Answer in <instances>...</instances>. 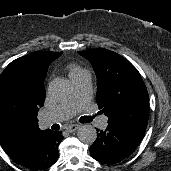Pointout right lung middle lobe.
Instances as JSON below:
<instances>
[{
    "label": "right lung middle lobe",
    "mask_w": 171,
    "mask_h": 171,
    "mask_svg": "<svg viewBox=\"0 0 171 171\" xmlns=\"http://www.w3.org/2000/svg\"><path fill=\"white\" fill-rule=\"evenodd\" d=\"M37 113L27 82L8 65L0 75V130H24L37 122Z\"/></svg>",
    "instance_id": "obj_1"
}]
</instances>
